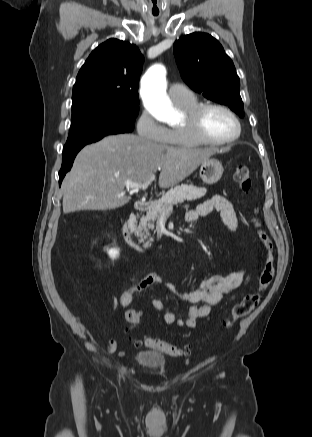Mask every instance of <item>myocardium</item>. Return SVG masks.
<instances>
[{"label": "myocardium", "mask_w": 312, "mask_h": 437, "mask_svg": "<svg viewBox=\"0 0 312 437\" xmlns=\"http://www.w3.org/2000/svg\"><path fill=\"white\" fill-rule=\"evenodd\" d=\"M214 108L226 112L234 120L236 130L232 136L222 140H213L204 134L202 130V119L208 110ZM181 127L197 143L210 146H223L230 144L240 137L242 131L241 121L237 114L228 106L215 102L199 104L192 110L184 113V121Z\"/></svg>", "instance_id": "f54148a6"}]
</instances>
